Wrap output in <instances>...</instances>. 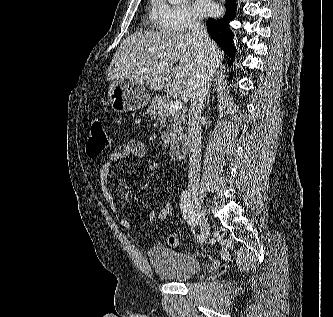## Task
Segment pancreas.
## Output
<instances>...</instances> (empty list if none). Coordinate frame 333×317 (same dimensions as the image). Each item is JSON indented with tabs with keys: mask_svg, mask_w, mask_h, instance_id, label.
Instances as JSON below:
<instances>
[{
	"mask_svg": "<svg viewBox=\"0 0 333 317\" xmlns=\"http://www.w3.org/2000/svg\"><path fill=\"white\" fill-rule=\"evenodd\" d=\"M169 98L165 96H155L152 99V105L148 112L153 119L160 120L161 128H166L162 131L161 136L165 146L180 135L183 129V124L186 122L185 114L178 110L176 112L168 111Z\"/></svg>",
	"mask_w": 333,
	"mask_h": 317,
	"instance_id": "1",
	"label": "pancreas"
}]
</instances>
